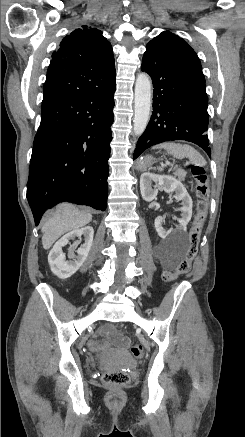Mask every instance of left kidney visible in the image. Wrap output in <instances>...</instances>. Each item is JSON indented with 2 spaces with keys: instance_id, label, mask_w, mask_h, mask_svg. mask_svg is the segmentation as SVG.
<instances>
[{
  "instance_id": "1",
  "label": "left kidney",
  "mask_w": 245,
  "mask_h": 437,
  "mask_svg": "<svg viewBox=\"0 0 245 437\" xmlns=\"http://www.w3.org/2000/svg\"><path fill=\"white\" fill-rule=\"evenodd\" d=\"M153 182L156 183V188H152ZM158 190H164L167 193L174 192V198L177 201H181L182 205L180 208L181 218L178 220L179 225L177 226L176 230L166 231L162 227L163 218L158 216L155 219L154 224L158 235L162 239H167L169 236L174 239L183 237L186 234L187 224L192 217L193 203L190 195L188 194L184 185L172 176L157 175L150 172L143 173L140 177V191L142 198L147 202H151L152 200L156 199Z\"/></svg>"
}]
</instances>
